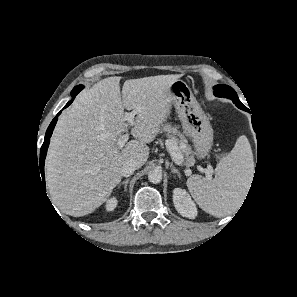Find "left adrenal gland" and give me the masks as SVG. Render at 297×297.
Instances as JSON below:
<instances>
[{
  "label": "left adrenal gland",
  "mask_w": 297,
  "mask_h": 297,
  "mask_svg": "<svg viewBox=\"0 0 297 297\" xmlns=\"http://www.w3.org/2000/svg\"><path fill=\"white\" fill-rule=\"evenodd\" d=\"M170 169L172 173H176L178 176H180L178 169L174 167L173 163L170 164Z\"/></svg>",
  "instance_id": "1"
}]
</instances>
